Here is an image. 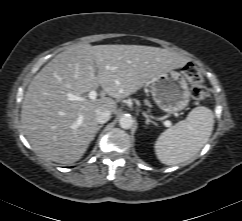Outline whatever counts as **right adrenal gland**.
<instances>
[{
	"label": "right adrenal gland",
	"mask_w": 242,
	"mask_h": 221,
	"mask_svg": "<svg viewBox=\"0 0 242 221\" xmlns=\"http://www.w3.org/2000/svg\"><path fill=\"white\" fill-rule=\"evenodd\" d=\"M102 127H103V125H99V126L97 127V131H96V133H97Z\"/></svg>",
	"instance_id": "2a0ac1e0"
}]
</instances>
